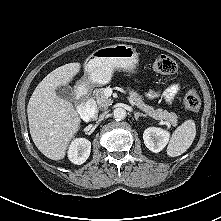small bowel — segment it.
<instances>
[{"label": "small bowel", "mask_w": 221, "mask_h": 221, "mask_svg": "<svg viewBox=\"0 0 221 221\" xmlns=\"http://www.w3.org/2000/svg\"><path fill=\"white\" fill-rule=\"evenodd\" d=\"M179 91V85L178 84H173L169 86L166 90H164L161 94L157 92H149L147 94L148 98H155L161 95L166 101H171L174 96L177 94Z\"/></svg>", "instance_id": "c3829d8e"}]
</instances>
